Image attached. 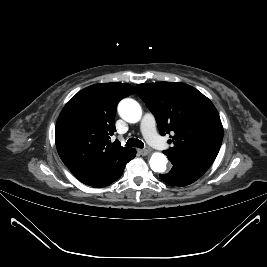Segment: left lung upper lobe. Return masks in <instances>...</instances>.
<instances>
[{
  "label": "left lung upper lobe",
  "instance_id": "left-lung-upper-lobe-1",
  "mask_svg": "<svg viewBox=\"0 0 267 267\" xmlns=\"http://www.w3.org/2000/svg\"><path fill=\"white\" fill-rule=\"evenodd\" d=\"M139 97L154 114L161 135H170L168 152L209 167L223 139V127L212 102L184 83L138 84Z\"/></svg>",
  "mask_w": 267,
  "mask_h": 267
}]
</instances>
